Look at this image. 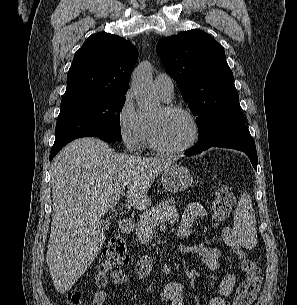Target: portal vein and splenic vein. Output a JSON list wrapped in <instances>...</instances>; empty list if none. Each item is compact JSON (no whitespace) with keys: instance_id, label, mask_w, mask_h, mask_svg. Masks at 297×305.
Wrapping results in <instances>:
<instances>
[{"instance_id":"obj_1","label":"portal vein and splenic vein","mask_w":297,"mask_h":305,"mask_svg":"<svg viewBox=\"0 0 297 305\" xmlns=\"http://www.w3.org/2000/svg\"><path fill=\"white\" fill-rule=\"evenodd\" d=\"M120 200V196L115 197V201L118 202Z\"/></svg>"}]
</instances>
